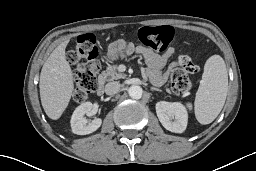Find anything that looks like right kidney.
Masks as SVG:
<instances>
[{
	"instance_id": "ca27d5eb",
	"label": "right kidney",
	"mask_w": 256,
	"mask_h": 171,
	"mask_svg": "<svg viewBox=\"0 0 256 171\" xmlns=\"http://www.w3.org/2000/svg\"><path fill=\"white\" fill-rule=\"evenodd\" d=\"M92 108L93 104L91 102H85L74 110L70 121L74 134H90L101 126L102 120L100 118H95L88 123V120L84 117L85 114L91 113Z\"/></svg>"
}]
</instances>
